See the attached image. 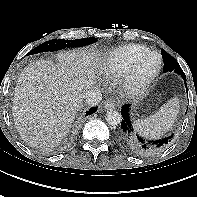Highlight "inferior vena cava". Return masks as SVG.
<instances>
[{
    "mask_svg": "<svg viewBox=\"0 0 197 197\" xmlns=\"http://www.w3.org/2000/svg\"><path fill=\"white\" fill-rule=\"evenodd\" d=\"M83 97L88 105L95 106L102 100V93L98 89H90L84 93Z\"/></svg>",
    "mask_w": 197,
    "mask_h": 197,
    "instance_id": "1",
    "label": "inferior vena cava"
}]
</instances>
